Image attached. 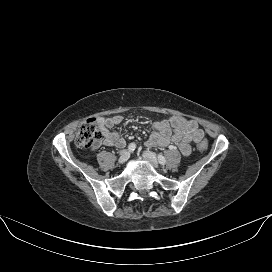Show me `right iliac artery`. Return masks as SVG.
<instances>
[{
	"mask_svg": "<svg viewBox=\"0 0 272 272\" xmlns=\"http://www.w3.org/2000/svg\"><path fill=\"white\" fill-rule=\"evenodd\" d=\"M129 151L133 152L136 149V144L135 143H130L128 146Z\"/></svg>",
	"mask_w": 272,
	"mask_h": 272,
	"instance_id": "1",
	"label": "right iliac artery"
}]
</instances>
